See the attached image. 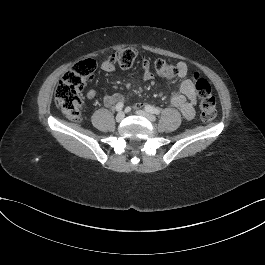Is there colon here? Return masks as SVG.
Instances as JSON below:
<instances>
[{"mask_svg":"<svg viewBox=\"0 0 265 265\" xmlns=\"http://www.w3.org/2000/svg\"><path fill=\"white\" fill-rule=\"evenodd\" d=\"M137 58L134 48H124L116 51L109 61L113 66L126 69L133 65ZM154 67L158 76L172 79L178 74L177 67L162 60H156ZM96 62L93 59H84L71 67L61 78L55 90V102L63 114L72 121L78 122L82 118L81 91L86 82L92 80ZM194 82L201 118L211 122L216 116V99L212 94L211 86L207 80L194 73Z\"/></svg>","mask_w":265,"mask_h":265,"instance_id":"colon-1","label":"colon"}]
</instances>
